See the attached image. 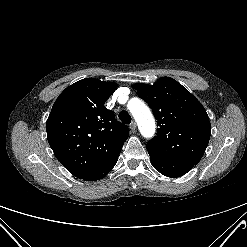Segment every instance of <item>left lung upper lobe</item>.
I'll return each mask as SVG.
<instances>
[{"label":"left lung upper lobe","mask_w":247,"mask_h":247,"mask_svg":"<svg viewBox=\"0 0 247 247\" xmlns=\"http://www.w3.org/2000/svg\"><path fill=\"white\" fill-rule=\"evenodd\" d=\"M138 95L158 120L157 136L147 150L171 160L196 165L209 142L211 126L202 104L179 82L162 77L153 85L135 84Z\"/></svg>","instance_id":"5c2ea615"}]
</instances>
